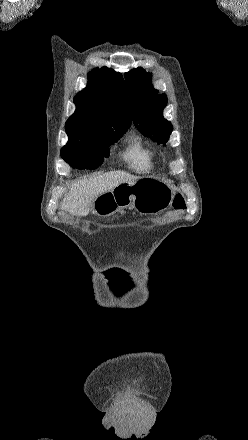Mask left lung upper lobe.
Segmentation results:
<instances>
[{
  "label": "left lung upper lobe",
  "instance_id": "left-lung-upper-lobe-1",
  "mask_svg": "<svg viewBox=\"0 0 248 440\" xmlns=\"http://www.w3.org/2000/svg\"><path fill=\"white\" fill-rule=\"evenodd\" d=\"M151 78V74L143 68L125 73L133 122L142 134L165 145L173 129L170 122L163 118L167 97L165 94H158V90L151 84Z\"/></svg>",
  "mask_w": 248,
  "mask_h": 440
}]
</instances>
